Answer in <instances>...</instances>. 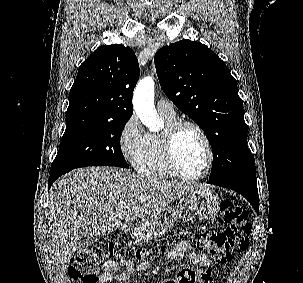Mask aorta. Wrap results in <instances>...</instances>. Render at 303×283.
I'll list each match as a JSON object with an SVG mask.
<instances>
[{
    "label": "aorta",
    "instance_id": "1",
    "mask_svg": "<svg viewBox=\"0 0 303 283\" xmlns=\"http://www.w3.org/2000/svg\"><path fill=\"white\" fill-rule=\"evenodd\" d=\"M133 107L141 122L150 131H157L162 126L154 106V81L145 77L136 86L133 95Z\"/></svg>",
    "mask_w": 303,
    "mask_h": 283
}]
</instances>
